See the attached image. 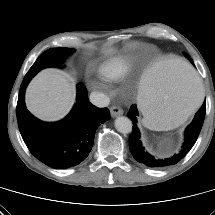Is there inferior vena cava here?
I'll list each match as a JSON object with an SVG mask.
<instances>
[{
  "instance_id": "602c4592",
  "label": "inferior vena cava",
  "mask_w": 215,
  "mask_h": 215,
  "mask_svg": "<svg viewBox=\"0 0 215 215\" xmlns=\"http://www.w3.org/2000/svg\"><path fill=\"white\" fill-rule=\"evenodd\" d=\"M89 99L97 107H107L110 103V98L101 92H92Z\"/></svg>"
}]
</instances>
